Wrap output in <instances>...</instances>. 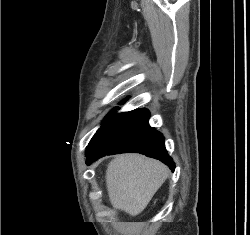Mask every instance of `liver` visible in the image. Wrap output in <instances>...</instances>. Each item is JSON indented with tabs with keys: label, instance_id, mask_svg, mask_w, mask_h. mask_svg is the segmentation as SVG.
I'll return each mask as SVG.
<instances>
[{
	"label": "liver",
	"instance_id": "obj_1",
	"mask_svg": "<svg viewBox=\"0 0 250 235\" xmlns=\"http://www.w3.org/2000/svg\"><path fill=\"white\" fill-rule=\"evenodd\" d=\"M161 162L137 154L115 157L106 170L109 200L116 210L140 214L168 176Z\"/></svg>",
	"mask_w": 250,
	"mask_h": 235
}]
</instances>
